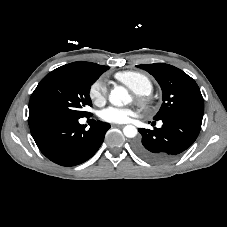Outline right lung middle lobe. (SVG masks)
<instances>
[{
	"instance_id": "dd1d6c3e",
	"label": "right lung middle lobe",
	"mask_w": 227,
	"mask_h": 227,
	"mask_svg": "<svg viewBox=\"0 0 227 227\" xmlns=\"http://www.w3.org/2000/svg\"><path fill=\"white\" fill-rule=\"evenodd\" d=\"M102 72L59 67L38 84L29 102V124L43 119H72L89 116L91 84Z\"/></svg>"
}]
</instances>
